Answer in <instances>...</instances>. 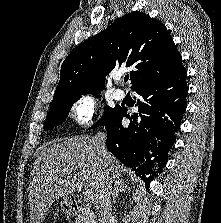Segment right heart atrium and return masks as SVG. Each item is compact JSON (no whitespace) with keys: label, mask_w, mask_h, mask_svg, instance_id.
Wrapping results in <instances>:
<instances>
[{"label":"right heart atrium","mask_w":221,"mask_h":223,"mask_svg":"<svg viewBox=\"0 0 221 223\" xmlns=\"http://www.w3.org/2000/svg\"><path fill=\"white\" fill-rule=\"evenodd\" d=\"M98 117V102L92 95L78 96L69 105L68 120L76 128H88L94 124Z\"/></svg>","instance_id":"obj_1"}]
</instances>
